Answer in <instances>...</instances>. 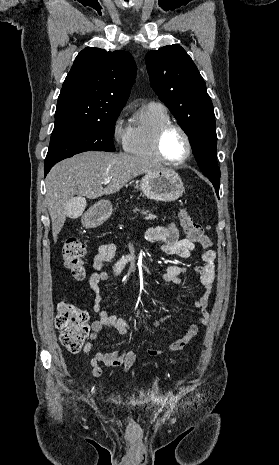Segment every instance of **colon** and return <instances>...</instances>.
I'll return each mask as SVG.
<instances>
[{"label": "colon", "mask_w": 279, "mask_h": 465, "mask_svg": "<svg viewBox=\"0 0 279 465\" xmlns=\"http://www.w3.org/2000/svg\"><path fill=\"white\" fill-rule=\"evenodd\" d=\"M179 220L189 239L203 247L210 246L211 241L202 225L197 223L185 209L180 210ZM84 255L85 245L81 239L76 235L67 237L63 244L62 257L65 267L77 280H82L86 275ZM55 325L60 331L62 345L72 353L79 352L89 333L86 312L72 303L61 301L57 307Z\"/></svg>", "instance_id": "1"}]
</instances>
